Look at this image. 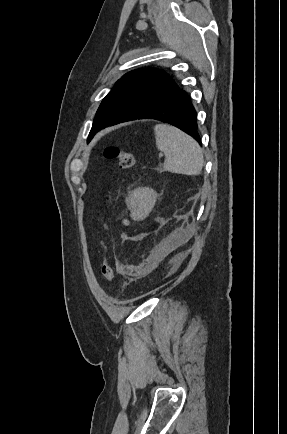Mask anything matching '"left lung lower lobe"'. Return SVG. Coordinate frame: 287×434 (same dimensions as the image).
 Wrapping results in <instances>:
<instances>
[{
    "mask_svg": "<svg viewBox=\"0 0 287 434\" xmlns=\"http://www.w3.org/2000/svg\"><path fill=\"white\" fill-rule=\"evenodd\" d=\"M136 119H156L169 123L183 130L201 144L196 111L188 94L180 88L162 100L140 109L127 121Z\"/></svg>",
    "mask_w": 287,
    "mask_h": 434,
    "instance_id": "0a47b994",
    "label": "left lung lower lobe"
}]
</instances>
